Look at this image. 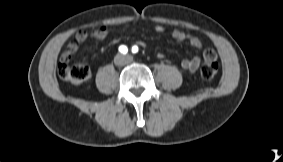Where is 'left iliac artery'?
Returning a JSON list of instances; mask_svg holds the SVG:
<instances>
[{"instance_id":"44dca946","label":"left iliac artery","mask_w":283,"mask_h":162,"mask_svg":"<svg viewBox=\"0 0 283 162\" xmlns=\"http://www.w3.org/2000/svg\"><path fill=\"white\" fill-rule=\"evenodd\" d=\"M132 52L133 53H137L138 52V47L137 46H133L132 47Z\"/></svg>"}]
</instances>
